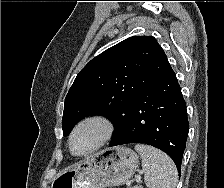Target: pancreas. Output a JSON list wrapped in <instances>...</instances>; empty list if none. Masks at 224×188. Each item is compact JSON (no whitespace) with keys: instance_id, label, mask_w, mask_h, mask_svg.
<instances>
[{"instance_id":"pancreas-1","label":"pancreas","mask_w":224,"mask_h":188,"mask_svg":"<svg viewBox=\"0 0 224 188\" xmlns=\"http://www.w3.org/2000/svg\"><path fill=\"white\" fill-rule=\"evenodd\" d=\"M133 188H142L141 186H135V187H133Z\"/></svg>"}]
</instances>
